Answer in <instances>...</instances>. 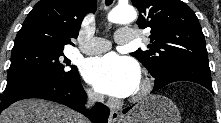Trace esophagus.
Returning <instances> with one entry per match:
<instances>
[{"label": "esophagus", "mask_w": 221, "mask_h": 123, "mask_svg": "<svg viewBox=\"0 0 221 123\" xmlns=\"http://www.w3.org/2000/svg\"><path fill=\"white\" fill-rule=\"evenodd\" d=\"M119 112L115 109H110L109 123H116L119 120Z\"/></svg>", "instance_id": "obj_1"}]
</instances>
